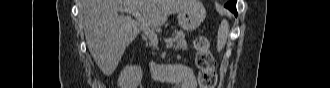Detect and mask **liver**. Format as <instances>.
Here are the masks:
<instances>
[{
	"label": "liver",
	"instance_id": "6515ba94",
	"mask_svg": "<svg viewBox=\"0 0 330 88\" xmlns=\"http://www.w3.org/2000/svg\"><path fill=\"white\" fill-rule=\"evenodd\" d=\"M191 0H81L79 18L87 47L105 75H111L126 47L137 37L141 27L131 16L139 11L151 27H160L170 14L189 7Z\"/></svg>",
	"mask_w": 330,
	"mask_h": 88
}]
</instances>
